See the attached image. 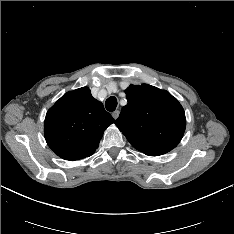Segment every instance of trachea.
Segmentation results:
<instances>
[{
  "label": "trachea",
  "instance_id": "1",
  "mask_svg": "<svg viewBox=\"0 0 234 234\" xmlns=\"http://www.w3.org/2000/svg\"><path fill=\"white\" fill-rule=\"evenodd\" d=\"M105 107L108 111L113 112L117 107V99L114 96L109 97L106 100Z\"/></svg>",
  "mask_w": 234,
  "mask_h": 234
}]
</instances>
